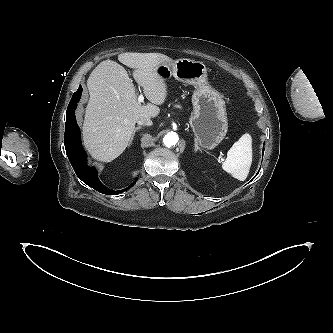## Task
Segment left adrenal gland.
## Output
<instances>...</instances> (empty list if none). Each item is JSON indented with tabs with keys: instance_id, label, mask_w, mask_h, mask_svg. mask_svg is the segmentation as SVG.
I'll return each mask as SVG.
<instances>
[{
	"instance_id": "obj_1",
	"label": "left adrenal gland",
	"mask_w": 333,
	"mask_h": 333,
	"mask_svg": "<svg viewBox=\"0 0 333 333\" xmlns=\"http://www.w3.org/2000/svg\"><path fill=\"white\" fill-rule=\"evenodd\" d=\"M195 150H196V151H197V150H200L196 138H195Z\"/></svg>"
}]
</instances>
